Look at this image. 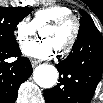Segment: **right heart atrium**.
<instances>
[{"label":"right heart atrium","instance_id":"right-heart-atrium-1","mask_svg":"<svg viewBox=\"0 0 103 103\" xmlns=\"http://www.w3.org/2000/svg\"><path fill=\"white\" fill-rule=\"evenodd\" d=\"M36 32V28L31 21L22 19L15 25L14 37L18 44H24Z\"/></svg>","mask_w":103,"mask_h":103}]
</instances>
